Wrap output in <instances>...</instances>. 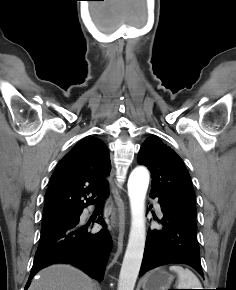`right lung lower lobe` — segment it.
Listing matches in <instances>:
<instances>
[{"mask_svg":"<svg viewBox=\"0 0 236 290\" xmlns=\"http://www.w3.org/2000/svg\"><path fill=\"white\" fill-rule=\"evenodd\" d=\"M108 194L103 199H106ZM79 218L80 215L73 222L41 232L25 289L39 270L54 263H70L99 282L103 280L111 247L110 233L102 217L98 218L97 223L104 228L97 233L90 232L87 225H79Z\"/></svg>","mask_w":236,"mask_h":290,"instance_id":"right-lung-lower-lobe-1","label":"right lung lower lobe"}]
</instances>
